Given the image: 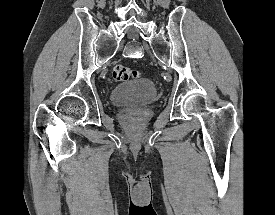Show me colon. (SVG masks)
Wrapping results in <instances>:
<instances>
[{
  "instance_id": "1",
  "label": "colon",
  "mask_w": 275,
  "mask_h": 215,
  "mask_svg": "<svg viewBox=\"0 0 275 215\" xmlns=\"http://www.w3.org/2000/svg\"><path fill=\"white\" fill-rule=\"evenodd\" d=\"M112 76L116 82H125L134 78H138L140 76V72L131 70L130 68L123 65H117L112 71Z\"/></svg>"
}]
</instances>
